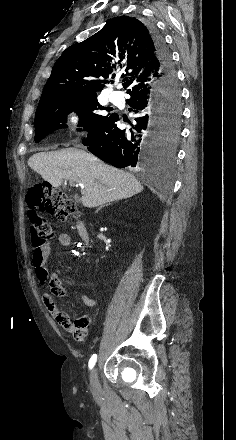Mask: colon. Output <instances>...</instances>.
I'll use <instances>...</instances> for the list:
<instances>
[{"label": "colon", "instance_id": "obj_1", "mask_svg": "<svg viewBox=\"0 0 236 440\" xmlns=\"http://www.w3.org/2000/svg\"><path fill=\"white\" fill-rule=\"evenodd\" d=\"M26 203L28 205L31 243L34 247L43 245L54 235L53 228L44 213L52 214L61 221L78 214L77 206L70 197L45 182L29 189ZM62 321L70 320L64 319Z\"/></svg>", "mask_w": 236, "mask_h": 440}]
</instances>
